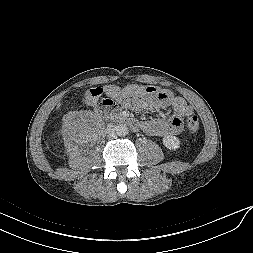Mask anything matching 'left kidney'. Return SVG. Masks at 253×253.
I'll list each match as a JSON object with an SVG mask.
<instances>
[{"mask_svg": "<svg viewBox=\"0 0 253 253\" xmlns=\"http://www.w3.org/2000/svg\"><path fill=\"white\" fill-rule=\"evenodd\" d=\"M163 144L169 150H176L180 147V141L175 136H165L163 138Z\"/></svg>", "mask_w": 253, "mask_h": 253, "instance_id": "obj_1", "label": "left kidney"}]
</instances>
